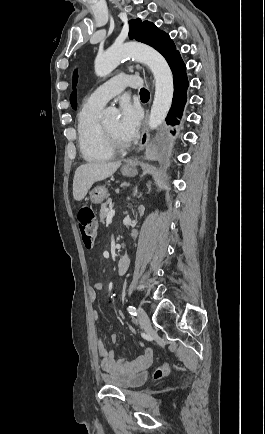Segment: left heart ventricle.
<instances>
[{
  "instance_id": "obj_1",
  "label": "left heart ventricle",
  "mask_w": 265,
  "mask_h": 434,
  "mask_svg": "<svg viewBox=\"0 0 265 434\" xmlns=\"http://www.w3.org/2000/svg\"><path fill=\"white\" fill-rule=\"evenodd\" d=\"M118 124H119L118 118H113V119H111V120H109L108 122L105 123V125L111 130V132L117 137V139L120 142L126 143L119 136V133H118Z\"/></svg>"
}]
</instances>
